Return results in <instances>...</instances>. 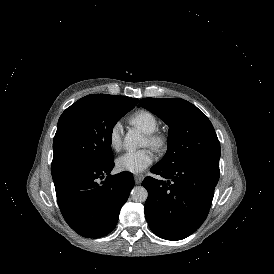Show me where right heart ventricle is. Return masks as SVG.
Returning a JSON list of instances; mask_svg holds the SVG:
<instances>
[{
    "label": "right heart ventricle",
    "mask_w": 274,
    "mask_h": 274,
    "mask_svg": "<svg viewBox=\"0 0 274 274\" xmlns=\"http://www.w3.org/2000/svg\"><path fill=\"white\" fill-rule=\"evenodd\" d=\"M129 121L138 126L142 132L148 135L153 134L158 129L156 118L148 112L137 113L133 115Z\"/></svg>",
    "instance_id": "1"
}]
</instances>
